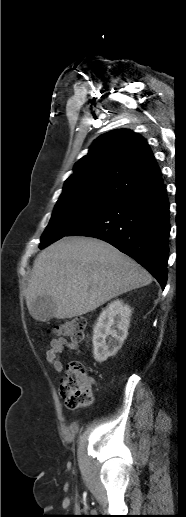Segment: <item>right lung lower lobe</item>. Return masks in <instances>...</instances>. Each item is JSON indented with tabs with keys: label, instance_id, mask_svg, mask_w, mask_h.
Instances as JSON below:
<instances>
[{
	"label": "right lung lower lobe",
	"instance_id": "obj_1",
	"mask_svg": "<svg viewBox=\"0 0 186 517\" xmlns=\"http://www.w3.org/2000/svg\"><path fill=\"white\" fill-rule=\"evenodd\" d=\"M169 213L166 188L160 180L128 192L67 236H89L110 243L146 268L164 289Z\"/></svg>",
	"mask_w": 186,
	"mask_h": 517
}]
</instances>
